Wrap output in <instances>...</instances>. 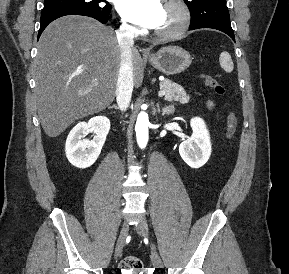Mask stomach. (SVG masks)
<instances>
[{
    "label": "stomach",
    "mask_w": 289,
    "mask_h": 274,
    "mask_svg": "<svg viewBox=\"0 0 289 274\" xmlns=\"http://www.w3.org/2000/svg\"><path fill=\"white\" fill-rule=\"evenodd\" d=\"M153 67L165 75H175L186 70L191 62L190 54L178 46L161 48L157 53L149 57Z\"/></svg>",
    "instance_id": "0dacf381"
}]
</instances>
